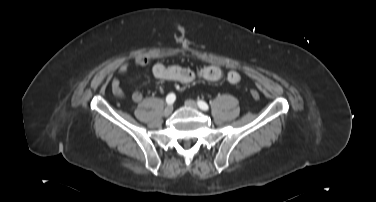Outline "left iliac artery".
I'll return each mask as SVG.
<instances>
[{"instance_id": "left-iliac-artery-1", "label": "left iliac artery", "mask_w": 376, "mask_h": 202, "mask_svg": "<svg viewBox=\"0 0 376 202\" xmlns=\"http://www.w3.org/2000/svg\"><path fill=\"white\" fill-rule=\"evenodd\" d=\"M198 106L200 107V109L202 110H208L209 109V106L206 102L202 101V100H199L198 101Z\"/></svg>"}]
</instances>
